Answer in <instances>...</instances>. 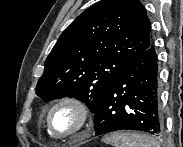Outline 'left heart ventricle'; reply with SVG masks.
<instances>
[{"mask_svg":"<svg viewBox=\"0 0 183 147\" xmlns=\"http://www.w3.org/2000/svg\"><path fill=\"white\" fill-rule=\"evenodd\" d=\"M51 124L58 134L72 132L80 124V114L71 105H61L52 112Z\"/></svg>","mask_w":183,"mask_h":147,"instance_id":"obj_1","label":"left heart ventricle"}]
</instances>
